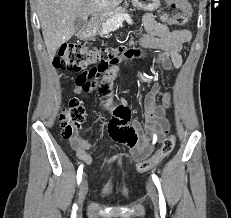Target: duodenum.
I'll list each match as a JSON object with an SVG mask.
<instances>
[{
	"instance_id": "obj_1",
	"label": "duodenum",
	"mask_w": 231,
	"mask_h": 218,
	"mask_svg": "<svg viewBox=\"0 0 231 218\" xmlns=\"http://www.w3.org/2000/svg\"><path fill=\"white\" fill-rule=\"evenodd\" d=\"M94 29H95V23L93 21H89L84 28L82 36L83 37L89 36L94 31Z\"/></svg>"
}]
</instances>
